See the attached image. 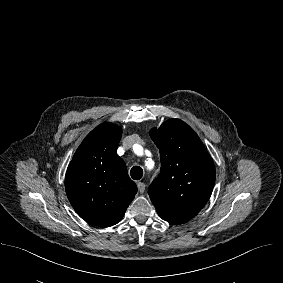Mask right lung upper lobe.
Masks as SVG:
<instances>
[{
	"mask_svg": "<svg viewBox=\"0 0 283 283\" xmlns=\"http://www.w3.org/2000/svg\"><path fill=\"white\" fill-rule=\"evenodd\" d=\"M122 128L102 123L78 147L66 176L67 197L86 222L110 227L123 217L133 200L136 184L117 155Z\"/></svg>",
	"mask_w": 283,
	"mask_h": 283,
	"instance_id": "cb5924a9",
	"label": "right lung upper lobe"
}]
</instances>
